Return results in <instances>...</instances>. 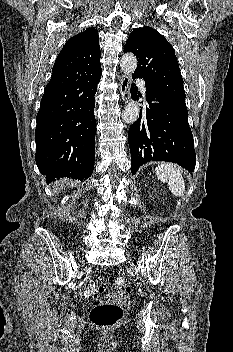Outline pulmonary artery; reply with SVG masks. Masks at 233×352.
I'll return each mask as SVG.
<instances>
[{
	"mask_svg": "<svg viewBox=\"0 0 233 352\" xmlns=\"http://www.w3.org/2000/svg\"><path fill=\"white\" fill-rule=\"evenodd\" d=\"M142 85H143V82L142 81H139ZM143 92H145V89L143 88Z\"/></svg>",
	"mask_w": 233,
	"mask_h": 352,
	"instance_id": "pulmonary-artery-1",
	"label": "pulmonary artery"
}]
</instances>
